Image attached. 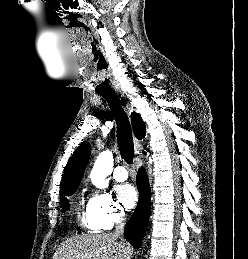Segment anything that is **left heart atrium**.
Wrapping results in <instances>:
<instances>
[{
	"instance_id": "1",
	"label": "left heart atrium",
	"mask_w": 248,
	"mask_h": 259,
	"mask_svg": "<svg viewBox=\"0 0 248 259\" xmlns=\"http://www.w3.org/2000/svg\"><path fill=\"white\" fill-rule=\"evenodd\" d=\"M116 195L119 202L126 208L131 209L137 202V193L130 184H123L116 188Z\"/></svg>"
}]
</instances>
